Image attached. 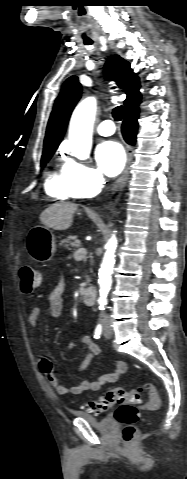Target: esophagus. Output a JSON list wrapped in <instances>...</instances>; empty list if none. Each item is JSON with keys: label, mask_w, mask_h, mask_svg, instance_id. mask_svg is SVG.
I'll return each mask as SVG.
<instances>
[{"label": "esophagus", "mask_w": 187, "mask_h": 479, "mask_svg": "<svg viewBox=\"0 0 187 479\" xmlns=\"http://www.w3.org/2000/svg\"><path fill=\"white\" fill-rule=\"evenodd\" d=\"M131 161H132V151L130 148L127 149V162H126V165H125V168L121 174V176L118 178L115 186H114V190H117L121 187L124 186V184L126 183L127 179H128V176H129V168H130V164H131Z\"/></svg>", "instance_id": "1"}]
</instances>
